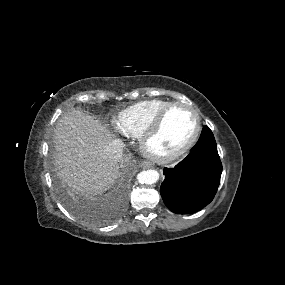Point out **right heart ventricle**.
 <instances>
[{
  "instance_id": "1",
  "label": "right heart ventricle",
  "mask_w": 285,
  "mask_h": 285,
  "mask_svg": "<svg viewBox=\"0 0 285 285\" xmlns=\"http://www.w3.org/2000/svg\"><path fill=\"white\" fill-rule=\"evenodd\" d=\"M171 103L173 102L162 99L135 103L118 113L115 120L116 126L122 134L140 138L159 113Z\"/></svg>"
}]
</instances>
